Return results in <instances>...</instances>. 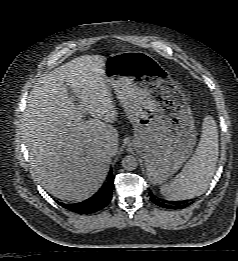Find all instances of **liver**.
I'll list each match as a JSON object with an SVG mask.
<instances>
[{
	"label": "liver",
	"instance_id": "1",
	"mask_svg": "<svg viewBox=\"0 0 238 261\" xmlns=\"http://www.w3.org/2000/svg\"><path fill=\"white\" fill-rule=\"evenodd\" d=\"M101 55H84L34 84L22 121L33 177L53 196L81 201L104 182L118 151L117 110ZM77 96L69 97L66 85ZM84 113L92 118L84 119ZM112 148L111 154L105 146Z\"/></svg>",
	"mask_w": 238,
	"mask_h": 261
}]
</instances>
